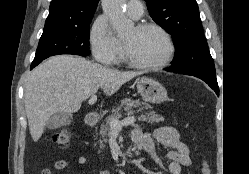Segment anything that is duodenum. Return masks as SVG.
Wrapping results in <instances>:
<instances>
[{"instance_id": "410a0bca", "label": "duodenum", "mask_w": 249, "mask_h": 174, "mask_svg": "<svg viewBox=\"0 0 249 174\" xmlns=\"http://www.w3.org/2000/svg\"><path fill=\"white\" fill-rule=\"evenodd\" d=\"M97 122H98V119L94 113L87 114L85 118V123L87 126L94 127L97 124ZM138 148L140 150L142 148V145L138 144Z\"/></svg>"}]
</instances>
